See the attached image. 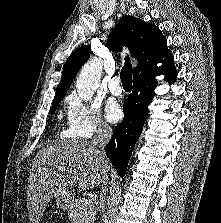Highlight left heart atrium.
Wrapping results in <instances>:
<instances>
[{"mask_svg": "<svg viewBox=\"0 0 221 223\" xmlns=\"http://www.w3.org/2000/svg\"><path fill=\"white\" fill-rule=\"evenodd\" d=\"M105 114L110 122L115 123L122 118L123 112L116 101L110 100L106 103Z\"/></svg>", "mask_w": 221, "mask_h": 223, "instance_id": "left-heart-atrium-1", "label": "left heart atrium"}]
</instances>
